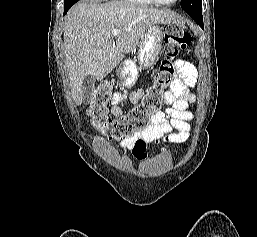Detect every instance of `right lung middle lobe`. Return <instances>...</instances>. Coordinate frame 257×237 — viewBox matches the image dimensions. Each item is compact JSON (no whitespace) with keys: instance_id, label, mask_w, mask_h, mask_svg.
<instances>
[{"instance_id":"right-lung-middle-lobe-1","label":"right lung middle lobe","mask_w":257,"mask_h":237,"mask_svg":"<svg viewBox=\"0 0 257 237\" xmlns=\"http://www.w3.org/2000/svg\"><path fill=\"white\" fill-rule=\"evenodd\" d=\"M78 0H64V9L70 8L73 4H75Z\"/></svg>"}]
</instances>
